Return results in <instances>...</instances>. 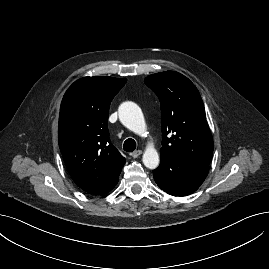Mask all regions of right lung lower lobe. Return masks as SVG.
<instances>
[{
	"mask_svg": "<svg viewBox=\"0 0 269 269\" xmlns=\"http://www.w3.org/2000/svg\"><path fill=\"white\" fill-rule=\"evenodd\" d=\"M117 181H118V179L112 185H110L108 188L103 190L100 194H105V193L109 192L110 190H112L115 187V185L117 184Z\"/></svg>",
	"mask_w": 269,
	"mask_h": 269,
	"instance_id": "98d812e1",
	"label": "right lung lower lobe"
}]
</instances>
